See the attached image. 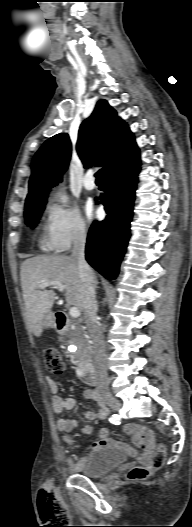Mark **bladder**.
I'll list each match as a JSON object with an SVG mask.
<instances>
[{"label": "bladder", "instance_id": "obj_1", "mask_svg": "<svg viewBox=\"0 0 192 527\" xmlns=\"http://www.w3.org/2000/svg\"><path fill=\"white\" fill-rule=\"evenodd\" d=\"M126 460V453L113 446H97L76 463V471L88 478H100L115 470Z\"/></svg>", "mask_w": 192, "mask_h": 527}]
</instances>
